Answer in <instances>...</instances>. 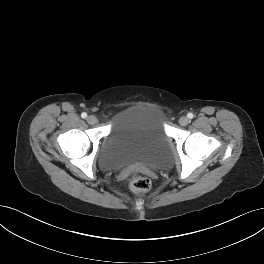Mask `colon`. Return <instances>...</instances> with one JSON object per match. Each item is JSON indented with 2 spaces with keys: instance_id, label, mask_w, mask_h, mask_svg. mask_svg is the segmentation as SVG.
<instances>
[{
  "instance_id": "5ec220e1",
  "label": "colon",
  "mask_w": 264,
  "mask_h": 264,
  "mask_svg": "<svg viewBox=\"0 0 264 264\" xmlns=\"http://www.w3.org/2000/svg\"><path fill=\"white\" fill-rule=\"evenodd\" d=\"M130 186L133 190L138 192H147L150 190V180L144 176L134 173L130 177Z\"/></svg>"
}]
</instances>
